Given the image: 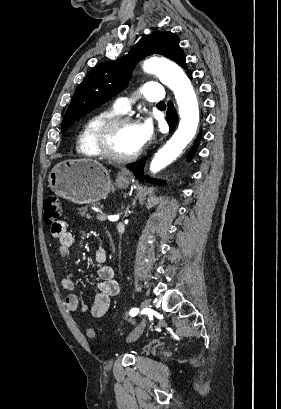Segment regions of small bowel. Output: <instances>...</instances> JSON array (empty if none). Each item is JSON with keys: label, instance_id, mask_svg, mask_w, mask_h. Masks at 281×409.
<instances>
[{"label": "small bowel", "instance_id": "c3829d8e", "mask_svg": "<svg viewBox=\"0 0 281 409\" xmlns=\"http://www.w3.org/2000/svg\"><path fill=\"white\" fill-rule=\"evenodd\" d=\"M51 234L58 242L57 257L66 261L70 257L71 247L74 242L72 233L68 230L64 221H55L51 225ZM109 256L108 249L99 245L94 251V259L99 263L96 268L97 282L95 284V297L90 305L81 304L76 295H69L65 299V305L71 313H83L87 310L95 318L102 317L108 310L111 298L119 292V284L115 279V271L111 265L106 264ZM61 287L70 291L75 287L71 274L64 273L60 278Z\"/></svg>", "mask_w": 281, "mask_h": 409}]
</instances>
